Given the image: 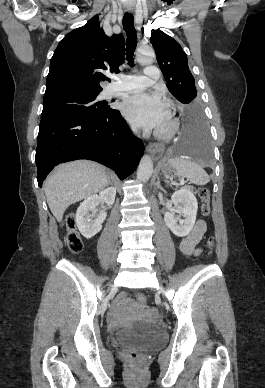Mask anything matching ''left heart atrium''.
I'll return each instance as SVG.
<instances>
[{
  "label": "left heart atrium",
  "mask_w": 265,
  "mask_h": 388,
  "mask_svg": "<svg viewBox=\"0 0 265 388\" xmlns=\"http://www.w3.org/2000/svg\"><path fill=\"white\" fill-rule=\"evenodd\" d=\"M124 116L131 122L145 127H156L168 118L165 101L154 93L142 92L128 97L122 106Z\"/></svg>",
  "instance_id": "1"
}]
</instances>
